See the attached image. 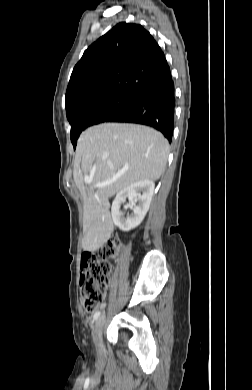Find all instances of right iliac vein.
I'll use <instances>...</instances> for the list:
<instances>
[{
	"mask_svg": "<svg viewBox=\"0 0 252 390\" xmlns=\"http://www.w3.org/2000/svg\"><path fill=\"white\" fill-rule=\"evenodd\" d=\"M105 320V315H101L95 322L92 329V336L97 347L102 345V328Z\"/></svg>",
	"mask_w": 252,
	"mask_h": 390,
	"instance_id": "1",
	"label": "right iliac vein"
}]
</instances>
